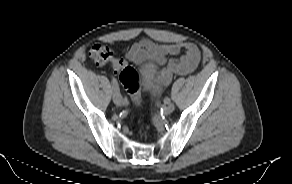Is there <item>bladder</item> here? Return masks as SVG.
Instances as JSON below:
<instances>
[{"label": "bladder", "mask_w": 292, "mask_h": 184, "mask_svg": "<svg viewBox=\"0 0 292 184\" xmlns=\"http://www.w3.org/2000/svg\"><path fill=\"white\" fill-rule=\"evenodd\" d=\"M143 72V76H144V87L148 90V91H154L157 88V84L156 81L150 77V69L149 68H143L142 69Z\"/></svg>", "instance_id": "1"}]
</instances>
